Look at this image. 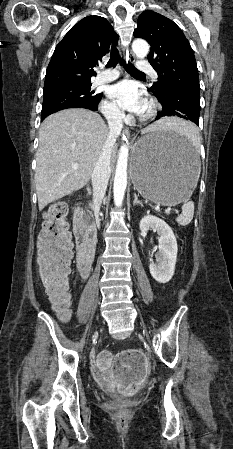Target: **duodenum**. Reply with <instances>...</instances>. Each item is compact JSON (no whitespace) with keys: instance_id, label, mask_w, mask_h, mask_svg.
Returning a JSON list of instances; mask_svg holds the SVG:
<instances>
[{"instance_id":"410a0bca","label":"duodenum","mask_w":233,"mask_h":449,"mask_svg":"<svg viewBox=\"0 0 233 449\" xmlns=\"http://www.w3.org/2000/svg\"><path fill=\"white\" fill-rule=\"evenodd\" d=\"M77 264L82 276H89L95 257L97 240L81 212L76 215Z\"/></svg>"}]
</instances>
